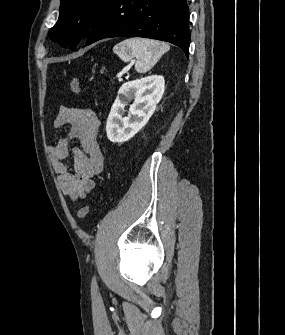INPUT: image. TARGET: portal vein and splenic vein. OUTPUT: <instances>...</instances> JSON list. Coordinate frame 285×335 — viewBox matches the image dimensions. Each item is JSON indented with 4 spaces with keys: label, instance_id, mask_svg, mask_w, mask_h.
<instances>
[{
    "label": "portal vein and splenic vein",
    "instance_id": "1",
    "mask_svg": "<svg viewBox=\"0 0 285 335\" xmlns=\"http://www.w3.org/2000/svg\"><path fill=\"white\" fill-rule=\"evenodd\" d=\"M117 78H119V80H120V78H121V74H117Z\"/></svg>",
    "mask_w": 285,
    "mask_h": 335
}]
</instances>
